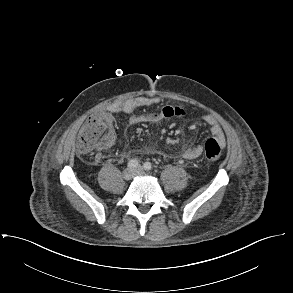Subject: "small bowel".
<instances>
[{
  "label": "small bowel",
  "mask_w": 293,
  "mask_h": 293,
  "mask_svg": "<svg viewBox=\"0 0 293 293\" xmlns=\"http://www.w3.org/2000/svg\"><path fill=\"white\" fill-rule=\"evenodd\" d=\"M153 103L154 101L148 97H136L122 103L112 104L108 107V111L113 114L127 115L131 124L156 123L161 119V116L139 117L134 114L137 109L149 106ZM202 120L209 127L212 137L218 141L221 147H224L226 145V138L216 119L210 115H205L202 117ZM203 150L204 148L202 145H196L185 149L182 152V156L185 159H195L203 153ZM99 159L100 156L98 155L96 161Z\"/></svg>",
  "instance_id": "obj_1"
}]
</instances>
